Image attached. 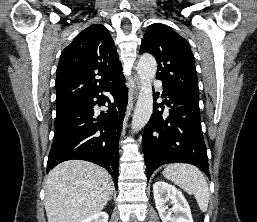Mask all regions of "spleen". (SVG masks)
Masks as SVG:
<instances>
[{
    "label": "spleen",
    "mask_w": 257,
    "mask_h": 222,
    "mask_svg": "<svg viewBox=\"0 0 257 222\" xmlns=\"http://www.w3.org/2000/svg\"><path fill=\"white\" fill-rule=\"evenodd\" d=\"M163 175L188 194H193L201 211L206 212L209 203V187L204 175L193 165L171 164L165 167Z\"/></svg>",
    "instance_id": "3e777b00"
}]
</instances>
